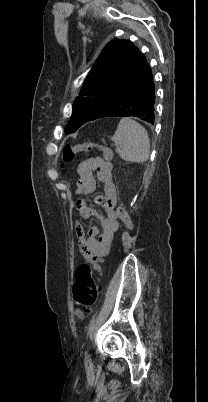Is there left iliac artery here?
<instances>
[{
	"label": "left iliac artery",
	"instance_id": "44dca946",
	"mask_svg": "<svg viewBox=\"0 0 208 402\" xmlns=\"http://www.w3.org/2000/svg\"><path fill=\"white\" fill-rule=\"evenodd\" d=\"M86 356H88V351L86 352Z\"/></svg>",
	"mask_w": 208,
	"mask_h": 402
}]
</instances>
